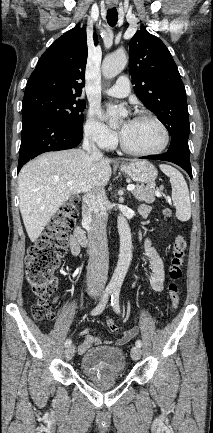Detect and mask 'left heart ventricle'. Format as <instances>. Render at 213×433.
Instances as JSON below:
<instances>
[{
    "instance_id": "b2bd125f",
    "label": "left heart ventricle",
    "mask_w": 213,
    "mask_h": 433,
    "mask_svg": "<svg viewBox=\"0 0 213 433\" xmlns=\"http://www.w3.org/2000/svg\"><path fill=\"white\" fill-rule=\"evenodd\" d=\"M120 135L130 148L137 151H150L162 142L161 130L148 120H128L120 127Z\"/></svg>"
}]
</instances>
